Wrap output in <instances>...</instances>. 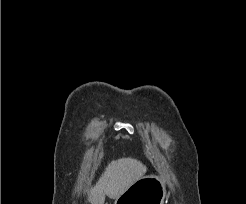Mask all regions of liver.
Listing matches in <instances>:
<instances>
[{
	"label": "liver",
	"mask_w": 246,
	"mask_h": 204,
	"mask_svg": "<svg viewBox=\"0 0 246 204\" xmlns=\"http://www.w3.org/2000/svg\"><path fill=\"white\" fill-rule=\"evenodd\" d=\"M147 168L140 161L133 158H121L112 161L106 167L88 194L91 204H104L105 196L117 199L135 181L145 175Z\"/></svg>",
	"instance_id": "1"
}]
</instances>
